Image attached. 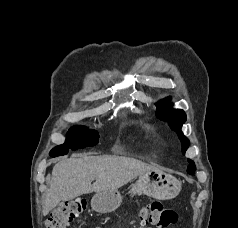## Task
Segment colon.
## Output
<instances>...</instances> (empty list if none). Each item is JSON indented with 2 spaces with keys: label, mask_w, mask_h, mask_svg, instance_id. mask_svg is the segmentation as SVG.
Listing matches in <instances>:
<instances>
[{
  "label": "colon",
  "mask_w": 238,
  "mask_h": 228,
  "mask_svg": "<svg viewBox=\"0 0 238 228\" xmlns=\"http://www.w3.org/2000/svg\"><path fill=\"white\" fill-rule=\"evenodd\" d=\"M86 209L84 199H76L56 208L47 219L45 228H68ZM142 220L159 228L174 226L179 221V215L160 202L148 204L141 212Z\"/></svg>",
  "instance_id": "obj_1"
}]
</instances>
